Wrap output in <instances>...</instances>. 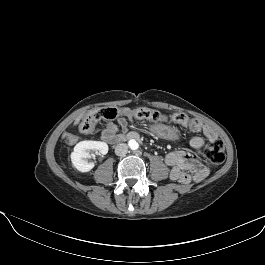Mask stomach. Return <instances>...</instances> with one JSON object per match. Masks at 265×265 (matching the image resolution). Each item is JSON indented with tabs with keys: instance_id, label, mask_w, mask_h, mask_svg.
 Listing matches in <instances>:
<instances>
[{
	"instance_id": "stomach-1",
	"label": "stomach",
	"mask_w": 265,
	"mask_h": 265,
	"mask_svg": "<svg viewBox=\"0 0 265 265\" xmlns=\"http://www.w3.org/2000/svg\"><path fill=\"white\" fill-rule=\"evenodd\" d=\"M150 130L155 136L167 141H176L179 138V134L176 129L163 124L152 125Z\"/></svg>"
}]
</instances>
